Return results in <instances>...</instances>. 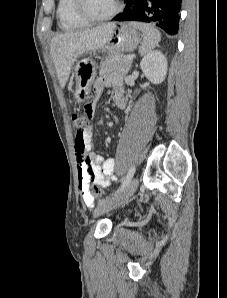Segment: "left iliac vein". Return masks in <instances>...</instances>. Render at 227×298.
<instances>
[{
	"label": "left iliac vein",
	"instance_id": "4c4485c4",
	"mask_svg": "<svg viewBox=\"0 0 227 298\" xmlns=\"http://www.w3.org/2000/svg\"><path fill=\"white\" fill-rule=\"evenodd\" d=\"M138 184V179L134 178L121 192L100 201L94 210V217H98L128 201L137 190Z\"/></svg>",
	"mask_w": 227,
	"mask_h": 298
}]
</instances>
